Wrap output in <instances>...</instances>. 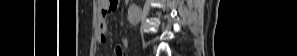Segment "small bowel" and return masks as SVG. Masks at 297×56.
<instances>
[{
    "label": "small bowel",
    "mask_w": 297,
    "mask_h": 56,
    "mask_svg": "<svg viewBox=\"0 0 297 56\" xmlns=\"http://www.w3.org/2000/svg\"><path fill=\"white\" fill-rule=\"evenodd\" d=\"M118 5L117 0H99L98 7L100 13V20H99V36L98 41L100 43H105L107 41V24L105 18L113 12ZM116 56H122L123 50L120 46L116 47L115 49Z\"/></svg>",
    "instance_id": "1"
}]
</instances>
